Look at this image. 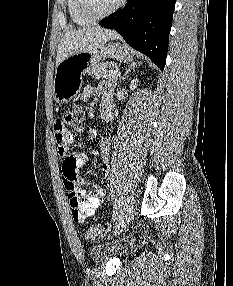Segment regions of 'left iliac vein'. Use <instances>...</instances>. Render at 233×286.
Here are the masks:
<instances>
[{"mask_svg":"<svg viewBox=\"0 0 233 286\" xmlns=\"http://www.w3.org/2000/svg\"><path fill=\"white\" fill-rule=\"evenodd\" d=\"M134 207L133 205L127 206L122 214L119 216L117 224L114 228V235L121 234L129 226L133 217Z\"/></svg>","mask_w":233,"mask_h":286,"instance_id":"obj_1","label":"left iliac vein"}]
</instances>
